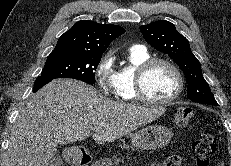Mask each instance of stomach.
<instances>
[{
    "label": "stomach",
    "instance_id": "stomach-1",
    "mask_svg": "<svg viewBox=\"0 0 231 166\" xmlns=\"http://www.w3.org/2000/svg\"><path fill=\"white\" fill-rule=\"evenodd\" d=\"M172 138V132L163 125H151L130 135L131 144L142 150H155L165 147Z\"/></svg>",
    "mask_w": 231,
    "mask_h": 166
}]
</instances>
